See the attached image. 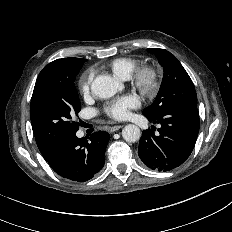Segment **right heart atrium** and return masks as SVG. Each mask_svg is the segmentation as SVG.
Here are the masks:
<instances>
[{
    "instance_id": "1",
    "label": "right heart atrium",
    "mask_w": 232,
    "mask_h": 232,
    "mask_svg": "<svg viewBox=\"0 0 232 232\" xmlns=\"http://www.w3.org/2000/svg\"><path fill=\"white\" fill-rule=\"evenodd\" d=\"M93 79H94L93 71H87L82 75L79 81V87L83 93L89 92Z\"/></svg>"
}]
</instances>
